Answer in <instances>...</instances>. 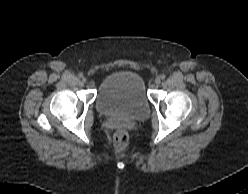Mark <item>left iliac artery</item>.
I'll return each mask as SVG.
<instances>
[{"instance_id":"left-iliac-artery-1","label":"left iliac artery","mask_w":248,"mask_h":194,"mask_svg":"<svg viewBox=\"0 0 248 194\" xmlns=\"http://www.w3.org/2000/svg\"><path fill=\"white\" fill-rule=\"evenodd\" d=\"M160 77H161V79H165L166 78V76L164 74H162Z\"/></svg>"}]
</instances>
